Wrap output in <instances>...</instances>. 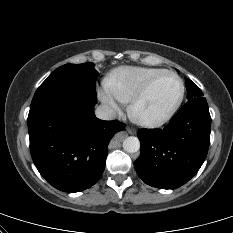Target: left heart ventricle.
<instances>
[{"label":"left heart ventricle","mask_w":233,"mask_h":233,"mask_svg":"<svg viewBox=\"0 0 233 233\" xmlns=\"http://www.w3.org/2000/svg\"><path fill=\"white\" fill-rule=\"evenodd\" d=\"M179 91V82L174 76H162L154 83L145 98L138 104L136 114L142 119L160 117L176 101Z\"/></svg>","instance_id":"obj_1"}]
</instances>
